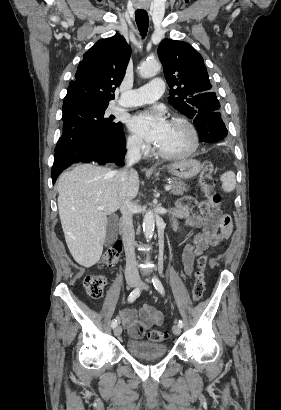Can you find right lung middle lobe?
<instances>
[{"instance_id":"obj_1","label":"right lung middle lobe","mask_w":281,"mask_h":410,"mask_svg":"<svg viewBox=\"0 0 281 410\" xmlns=\"http://www.w3.org/2000/svg\"><path fill=\"white\" fill-rule=\"evenodd\" d=\"M108 105L75 103L63 106V133L57 146L81 139L116 136L123 132L121 122L105 115Z\"/></svg>"}]
</instances>
